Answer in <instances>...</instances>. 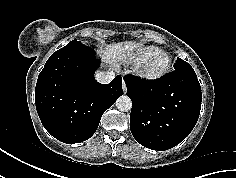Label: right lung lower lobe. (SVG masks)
<instances>
[{
	"instance_id": "1",
	"label": "right lung lower lobe",
	"mask_w": 236,
	"mask_h": 178,
	"mask_svg": "<svg viewBox=\"0 0 236 178\" xmlns=\"http://www.w3.org/2000/svg\"><path fill=\"white\" fill-rule=\"evenodd\" d=\"M98 65L93 49L79 46L53 53L38 76V115L45 129L61 142L89 139L103 113L123 95L121 76L109 84L95 80Z\"/></svg>"
}]
</instances>
